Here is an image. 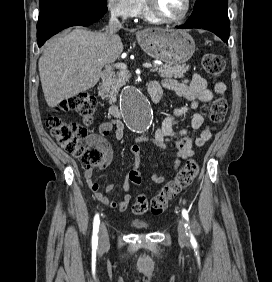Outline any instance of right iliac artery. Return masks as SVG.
<instances>
[{
    "instance_id": "82829eb1",
    "label": "right iliac artery",
    "mask_w": 272,
    "mask_h": 282,
    "mask_svg": "<svg viewBox=\"0 0 272 282\" xmlns=\"http://www.w3.org/2000/svg\"><path fill=\"white\" fill-rule=\"evenodd\" d=\"M100 219L99 215L96 214L93 222V235H92V247L97 248L98 245V230H99Z\"/></svg>"
}]
</instances>
